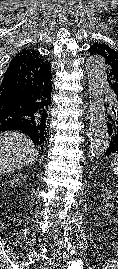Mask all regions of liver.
I'll use <instances>...</instances> for the list:
<instances>
[{"instance_id":"liver-1","label":"liver","mask_w":118,"mask_h":269,"mask_svg":"<svg viewBox=\"0 0 118 269\" xmlns=\"http://www.w3.org/2000/svg\"><path fill=\"white\" fill-rule=\"evenodd\" d=\"M38 151L30 138L19 132L0 134V175L33 165Z\"/></svg>"}]
</instances>
